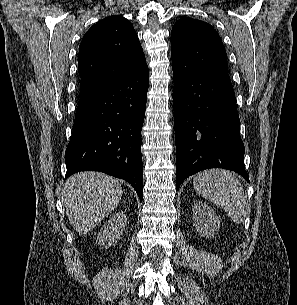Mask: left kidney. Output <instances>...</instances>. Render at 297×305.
Returning a JSON list of instances; mask_svg holds the SVG:
<instances>
[{
    "label": "left kidney",
    "mask_w": 297,
    "mask_h": 305,
    "mask_svg": "<svg viewBox=\"0 0 297 305\" xmlns=\"http://www.w3.org/2000/svg\"><path fill=\"white\" fill-rule=\"evenodd\" d=\"M192 211L196 231L201 236L211 237L219 230V218L208 205L203 202H194Z\"/></svg>",
    "instance_id": "1"
}]
</instances>
